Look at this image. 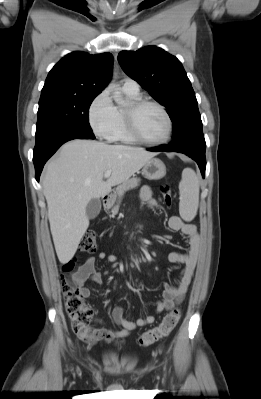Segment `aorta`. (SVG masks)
Masks as SVG:
<instances>
[{
	"label": "aorta",
	"instance_id": "762f6f07",
	"mask_svg": "<svg viewBox=\"0 0 261 399\" xmlns=\"http://www.w3.org/2000/svg\"><path fill=\"white\" fill-rule=\"evenodd\" d=\"M110 87L114 88V100L116 101V103L119 105H125V101H124L118 87L113 83L110 84Z\"/></svg>",
	"mask_w": 261,
	"mask_h": 399
}]
</instances>
